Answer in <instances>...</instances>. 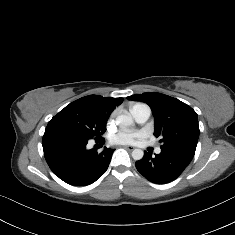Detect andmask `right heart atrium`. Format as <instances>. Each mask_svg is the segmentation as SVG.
Returning a JSON list of instances; mask_svg holds the SVG:
<instances>
[{
	"mask_svg": "<svg viewBox=\"0 0 235 235\" xmlns=\"http://www.w3.org/2000/svg\"><path fill=\"white\" fill-rule=\"evenodd\" d=\"M114 114L111 115L110 120L113 118Z\"/></svg>",
	"mask_w": 235,
	"mask_h": 235,
	"instance_id": "obj_1",
	"label": "right heart atrium"
}]
</instances>
